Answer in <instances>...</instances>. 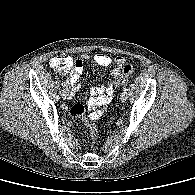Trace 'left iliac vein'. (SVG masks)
Masks as SVG:
<instances>
[{
  "instance_id": "left-iliac-vein-1",
  "label": "left iliac vein",
  "mask_w": 195,
  "mask_h": 195,
  "mask_svg": "<svg viewBox=\"0 0 195 195\" xmlns=\"http://www.w3.org/2000/svg\"><path fill=\"white\" fill-rule=\"evenodd\" d=\"M120 99L122 102H125L128 99V94L127 92L123 91L120 95Z\"/></svg>"
}]
</instances>
